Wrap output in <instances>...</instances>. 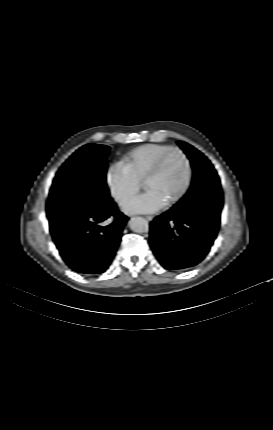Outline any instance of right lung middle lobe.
<instances>
[{
    "label": "right lung middle lobe",
    "mask_w": 273,
    "mask_h": 430,
    "mask_svg": "<svg viewBox=\"0 0 273 430\" xmlns=\"http://www.w3.org/2000/svg\"><path fill=\"white\" fill-rule=\"evenodd\" d=\"M110 147L87 144L59 169L47 200L49 221L94 206L113 203L106 185V158Z\"/></svg>",
    "instance_id": "right-lung-middle-lobe-1"
}]
</instances>
